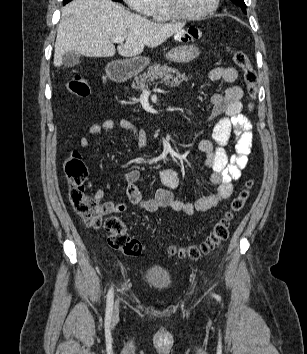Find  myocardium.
Returning <instances> with one entry per match:
<instances>
[{
	"label": "myocardium",
	"instance_id": "obj_1",
	"mask_svg": "<svg viewBox=\"0 0 307 354\" xmlns=\"http://www.w3.org/2000/svg\"><path fill=\"white\" fill-rule=\"evenodd\" d=\"M220 1L221 0H213L210 7L206 11L199 13V14L184 13L180 9L177 0H164V4H165V7H166L168 13L170 14V16L172 18L178 19V20L197 21V20L206 19V18L210 17L211 15H213L217 11Z\"/></svg>",
	"mask_w": 307,
	"mask_h": 354
}]
</instances>
